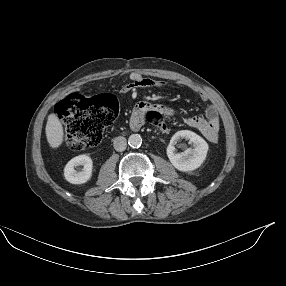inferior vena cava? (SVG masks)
<instances>
[{
    "label": "inferior vena cava",
    "mask_w": 286,
    "mask_h": 286,
    "mask_svg": "<svg viewBox=\"0 0 286 286\" xmlns=\"http://www.w3.org/2000/svg\"><path fill=\"white\" fill-rule=\"evenodd\" d=\"M113 145L116 151H124L127 147V140L125 137L118 136L114 139Z\"/></svg>",
    "instance_id": "obj_1"
}]
</instances>
